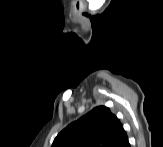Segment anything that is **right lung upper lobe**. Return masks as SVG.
<instances>
[{"label":"right lung upper lobe","instance_id":"right-lung-upper-lobe-1","mask_svg":"<svg viewBox=\"0 0 163 147\" xmlns=\"http://www.w3.org/2000/svg\"><path fill=\"white\" fill-rule=\"evenodd\" d=\"M125 135L110 109L98 106L63 129L52 147H113Z\"/></svg>","mask_w":163,"mask_h":147}]
</instances>
